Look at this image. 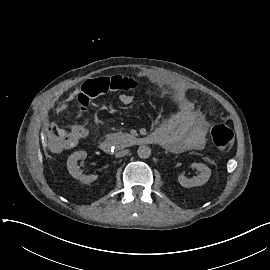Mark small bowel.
<instances>
[{"label":"small bowel","instance_id":"c3829d8e","mask_svg":"<svg viewBox=\"0 0 270 270\" xmlns=\"http://www.w3.org/2000/svg\"><path fill=\"white\" fill-rule=\"evenodd\" d=\"M140 75L165 85L178 102L183 104L187 101L186 86L173 76L152 70H142ZM119 100L122 104L129 105L133 102V96L121 94ZM207 132L208 123L199 111L187 118L170 119L155 131L162 141V146L172 153L202 149ZM45 137L51 142V149L56 153L74 148L78 141L73 133H63L62 128L58 125L48 126L45 130Z\"/></svg>","mask_w":270,"mask_h":270}]
</instances>
